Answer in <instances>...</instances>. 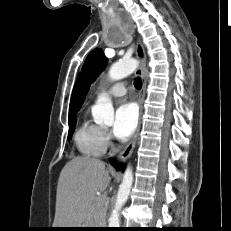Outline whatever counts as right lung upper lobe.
Listing matches in <instances>:
<instances>
[{"mask_svg":"<svg viewBox=\"0 0 231 231\" xmlns=\"http://www.w3.org/2000/svg\"><path fill=\"white\" fill-rule=\"evenodd\" d=\"M75 96H76V86L73 89L72 96H71V101H70V109H69V118L76 117V110H75Z\"/></svg>","mask_w":231,"mask_h":231,"instance_id":"cb5924a9","label":"right lung upper lobe"}]
</instances>
